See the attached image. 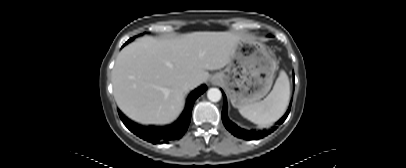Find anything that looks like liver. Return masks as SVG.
<instances>
[{
    "label": "liver",
    "mask_w": 406,
    "mask_h": 168,
    "mask_svg": "<svg viewBox=\"0 0 406 168\" xmlns=\"http://www.w3.org/2000/svg\"><path fill=\"white\" fill-rule=\"evenodd\" d=\"M245 39L232 32L204 31L132 42L118 54L112 71L118 107L142 124L171 123L183 110L186 93L208 80L207 70L225 67ZM190 80L192 87L185 89Z\"/></svg>",
    "instance_id": "obj_1"
}]
</instances>
